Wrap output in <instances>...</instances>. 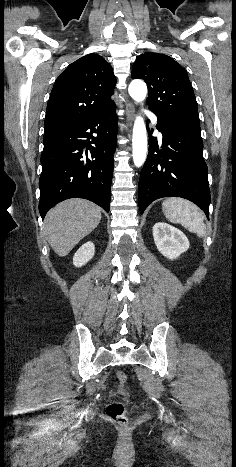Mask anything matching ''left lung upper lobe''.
I'll return each mask as SVG.
<instances>
[{
  "label": "left lung upper lobe",
  "mask_w": 236,
  "mask_h": 467,
  "mask_svg": "<svg viewBox=\"0 0 236 467\" xmlns=\"http://www.w3.org/2000/svg\"><path fill=\"white\" fill-rule=\"evenodd\" d=\"M132 79L148 86L147 104L159 117L198 118L197 102L187 72L171 57L144 53L132 67Z\"/></svg>",
  "instance_id": "obj_1"
}]
</instances>
